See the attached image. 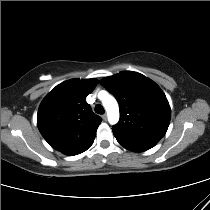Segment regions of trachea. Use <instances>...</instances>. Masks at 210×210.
Returning <instances> with one entry per match:
<instances>
[{
  "label": "trachea",
  "mask_w": 210,
  "mask_h": 210,
  "mask_svg": "<svg viewBox=\"0 0 210 210\" xmlns=\"http://www.w3.org/2000/svg\"><path fill=\"white\" fill-rule=\"evenodd\" d=\"M95 112H96L97 114H104V113H105L103 106L100 105V104H97V105L95 106Z\"/></svg>",
  "instance_id": "3493384b"
}]
</instances>
